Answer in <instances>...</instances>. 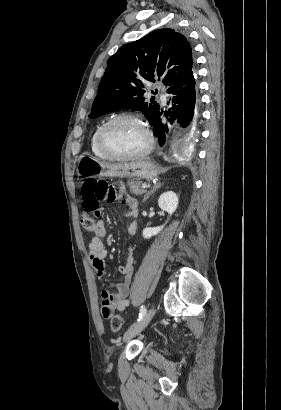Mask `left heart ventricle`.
<instances>
[{
    "label": "left heart ventricle",
    "mask_w": 281,
    "mask_h": 410,
    "mask_svg": "<svg viewBox=\"0 0 281 410\" xmlns=\"http://www.w3.org/2000/svg\"><path fill=\"white\" fill-rule=\"evenodd\" d=\"M107 146L120 154H133L147 144V136L141 125L131 120H120L106 132Z\"/></svg>",
    "instance_id": "1"
}]
</instances>
